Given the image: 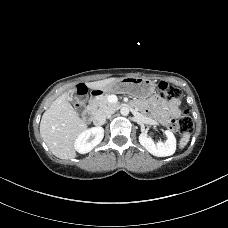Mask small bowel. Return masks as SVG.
I'll return each mask as SVG.
<instances>
[{
	"instance_id": "c3829d8e",
	"label": "small bowel",
	"mask_w": 228,
	"mask_h": 228,
	"mask_svg": "<svg viewBox=\"0 0 228 228\" xmlns=\"http://www.w3.org/2000/svg\"><path fill=\"white\" fill-rule=\"evenodd\" d=\"M150 103L153 105L154 109L158 112V117L161 122L165 125L169 123L168 114L171 116H177L179 114V102L171 101L166 102L161 100L159 97L155 96L150 99ZM137 105H141L140 102H136Z\"/></svg>"
}]
</instances>
